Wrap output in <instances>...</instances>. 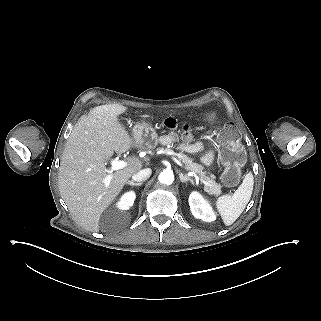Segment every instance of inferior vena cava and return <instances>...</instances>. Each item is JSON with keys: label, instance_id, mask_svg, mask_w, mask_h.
Segmentation results:
<instances>
[{"label": "inferior vena cava", "instance_id": "1", "mask_svg": "<svg viewBox=\"0 0 321 321\" xmlns=\"http://www.w3.org/2000/svg\"><path fill=\"white\" fill-rule=\"evenodd\" d=\"M151 174H152V170L150 168H145L135 173L132 176V179L137 182H142L147 180L151 176Z\"/></svg>", "mask_w": 321, "mask_h": 321}]
</instances>
